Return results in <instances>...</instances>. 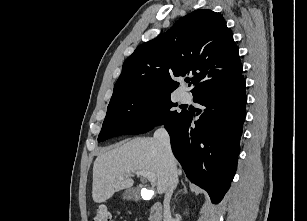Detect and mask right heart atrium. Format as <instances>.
I'll return each instance as SVG.
<instances>
[{
    "label": "right heart atrium",
    "instance_id": "1",
    "mask_svg": "<svg viewBox=\"0 0 307 221\" xmlns=\"http://www.w3.org/2000/svg\"><path fill=\"white\" fill-rule=\"evenodd\" d=\"M153 117V112L152 111H147L144 115L145 120H151Z\"/></svg>",
    "mask_w": 307,
    "mask_h": 221
}]
</instances>
